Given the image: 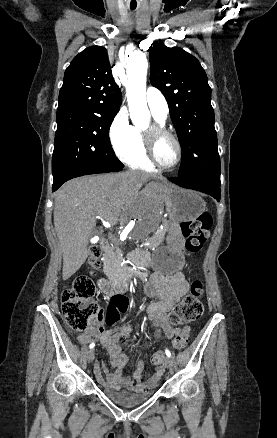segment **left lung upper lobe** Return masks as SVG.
Returning a JSON list of instances; mask_svg holds the SVG:
<instances>
[{
    "label": "left lung upper lobe",
    "instance_id": "1",
    "mask_svg": "<svg viewBox=\"0 0 277 438\" xmlns=\"http://www.w3.org/2000/svg\"><path fill=\"white\" fill-rule=\"evenodd\" d=\"M150 47V79L164 94L183 151L180 178H220L211 88L199 61L181 48Z\"/></svg>",
    "mask_w": 277,
    "mask_h": 438
}]
</instances>
